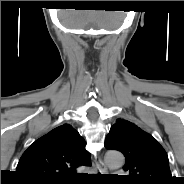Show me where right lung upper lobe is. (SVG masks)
Returning <instances> with one entry per match:
<instances>
[{
	"label": "right lung upper lobe",
	"mask_w": 184,
	"mask_h": 184,
	"mask_svg": "<svg viewBox=\"0 0 184 184\" xmlns=\"http://www.w3.org/2000/svg\"><path fill=\"white\" fill-rule=\"evenodd\" d=\"M90 165L85 140L71 125L63 124L24 152L16 172L32 183H67L73 180L77 167Z\"/></svg>",
	"instance_id": "obj_1"
}]
</instances>
